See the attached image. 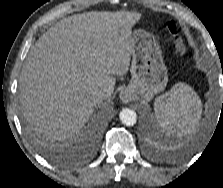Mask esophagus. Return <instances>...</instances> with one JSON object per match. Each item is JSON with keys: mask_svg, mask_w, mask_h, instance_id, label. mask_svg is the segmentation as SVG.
<instances>
[{"mask_svg": "<svg viewBox=\"0 0 223 188\" xmlns=\"http://www.w3.org/2000/svg\"><path fill=\"white\" fill-rule=\"evenodd\" d=\"M119 97L123 103H129L132 100L131 92L128 89L122 90Z\"/></svg>", "mask_w": 223, "mask_h": 188, "instance_id": "34e87169", "label": "esophagus"}]
</instances>
